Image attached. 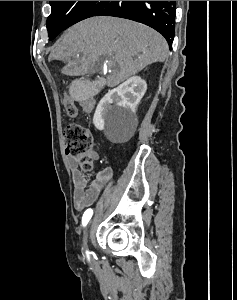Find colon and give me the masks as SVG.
<instances>
[{
    "mask_svg": "<svg viewBox=\"0 0 237 300\" xmlns=\"http://www.w3.org/2000/svg\"><path fill=\"white\" fill-rule=\"evenodd\" d=\"M63 105L69 116H76L75 103L67 93L64 94ZM63 137L66 154L76 157L80 168L84 172H91L93 170V159L88 155L89 150L92 148L91 132L77 123H69L64 129Z\"/></svg>",
    "mask_w": 237,
    "mask_h": 300,
    "instance_id": "5ec220e1",
    "label": "colon"
}]
</instances>
